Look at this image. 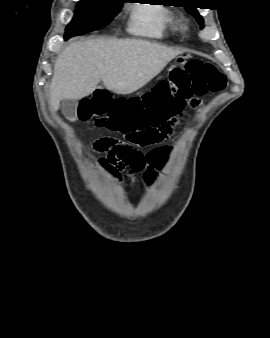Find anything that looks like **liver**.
I'll return each instance as SVG.
<instances>
[{
	"instance_id": "1",
	"label": "liver",
	"mask_w": 270,
	"mask_h": 338,
	"mask_svg": "<svg viewBox=\"0 0 270 338\" xmlns=\"http://www.w3.org/2000/svg\"><path fill=\"white\" fill-rule=\"evenodd\" d=\"M181 51L141 39H90L71 43L57 57L50 85L53 111L63 99L107 90L130 94L157 76Z\"/></svg>"
}]
</instances>
